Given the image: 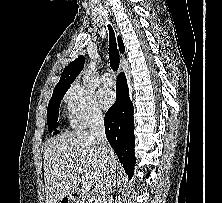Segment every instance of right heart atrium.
<instances>
[{
  "label": "right heart atrium",
  "instance_id": "d8ad5b80",
  "mask_svg": "<svg viewBox=\"0 0 222 203\" xmlns=\"http://www.w3.org/2000/svg\"><path fill=\"white\" fill-rule=\"evenodd\" d=\"M65 102L70 120L77 128H85L103 117L93 92L83 85H73L65 96Z\"/></svg>",
  "mask_w": 222,
  "mask_h": 203
}]
</instances>
